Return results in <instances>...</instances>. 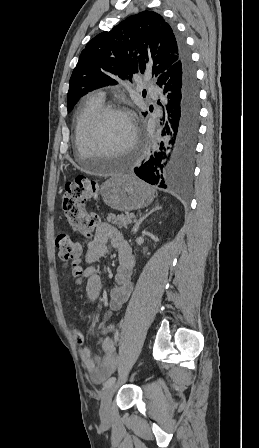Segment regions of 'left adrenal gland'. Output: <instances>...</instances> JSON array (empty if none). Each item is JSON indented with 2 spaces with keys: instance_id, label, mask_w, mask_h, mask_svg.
I'll return each mask as SVG.
<instances>
[{
  "instance_id": "1",
  "label": "left adrenal gland",
  "mask_w": 259,
  "mask_h": 448,
  "mask_svg": "<svg viewBox=\"0 0 259 448\" xmlns=\"http://www.w3.org/2000/svg\"><path fill=\"white\" fill-rule=\"evenodd\" d=\"M156 210H161V206H156V208H153V210H150V212H148V214H145V216H142V218H139L138 222H136V224L133 228L134 234H136V232H138L139 226H140V224H142L143 220H145V218H148V216H150V214H152V212H156Z\"/></svg>"
}]
</instances>
